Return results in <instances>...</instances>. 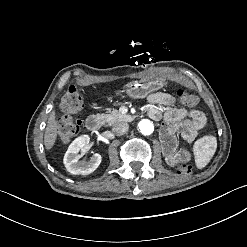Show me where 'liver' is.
<instances>
[{"label":"liver","instance_id":"obj_1","mask_svg":"<svg viewBox=\"0 0 247 247\" xmlns=\"http://www.w3.org/2000/svg\"><path fill=\"white\" fill-rule=\"evenodd\" d=\"M58 122L55 118V111L50 113L44 135V145L46 149H51L57 138Z\"/></svg>","mask_w":247,"mask_h":247}]
</instances>
